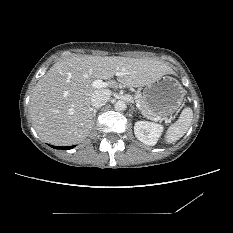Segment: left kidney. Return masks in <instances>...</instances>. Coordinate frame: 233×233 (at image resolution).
<instances>
[{
	"instance_id": "1",
	"label": "left kidney",
	"mask_w": 233,
	"mask_h": 233,
	"mask_svg": "<svg viewBox=\"0 0 233 233\" xmlns=\"http://www.w3.org/2000/svg\"><path fill=\"white\" fill-rule=\"evenodd\" d=\"M162 131V125L149 121H137L134 125L136 138L149 146H153L157 143Z\"/></svg>"
}]
</instances>
